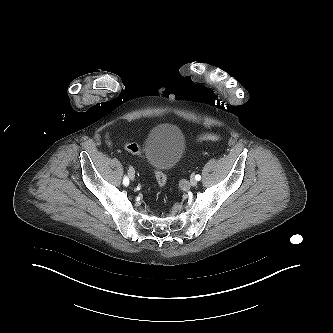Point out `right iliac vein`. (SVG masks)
<instances>
[{"mask_svg":"<svg viewBox=\"0 0 333 333\" xmlns=\"http://www.w3.org/2000/svg\"><path fill=\"white\" fill-rule=\"evenodd\" d=\"M128 175H129L130 179H132V180L135 178V171L132 167L129 168Z\"/></svg>","mask_w":333,"mask_h":333,"instance_id":"63e3f726","label":"right iliac vein"}]
</instances>
